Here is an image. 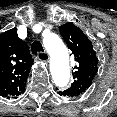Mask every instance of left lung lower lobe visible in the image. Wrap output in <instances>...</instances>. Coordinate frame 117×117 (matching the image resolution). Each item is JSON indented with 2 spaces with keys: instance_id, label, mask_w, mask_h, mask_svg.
Masks as SVG:
<instances>
[{
  "instance_id": "0a47b994",
  "label": "left lung lower lobe",
  "mask_w": 117,
  "mask_h": 117,
  "mask_svg": "<svg viewBox=\"0 0 117 117\" xmlns=\"http://www.w3.org/2000/svg\"><path fill=\"white\" fill-rule=\"evenodd\" d=\"M58 94L65 96V93L63 91H59Z\"/></svg>"
}]
</instances>
